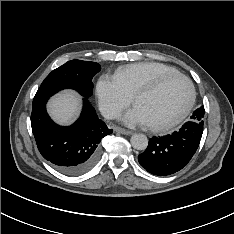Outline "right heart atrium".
<instances>
[{
	"mask_svg": "<svg viewBox=\"0 0 234 234\" xmlns=\"http://www.w3.org/2000/svg\"><path fill=\"white\" fill-rule=\"evenodd\" d=\"M96 93L102 112L110 118L116 117L132 101V96L115 75H101Z\"/></svg>",
	"mask_w": 234,
	"mask_h": 234,
	"instance_id": "obj_1",
	"label": "right heart atrium"
}]
</instances>
